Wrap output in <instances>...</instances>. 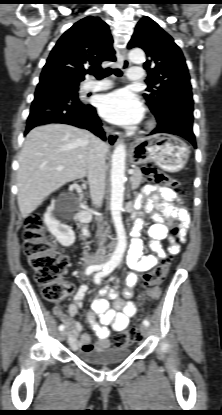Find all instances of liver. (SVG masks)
I'll return each mask as SVG.
<instances>
[{"label":"liver","instance_id":"obj_1","mask_svg":"<svg viewBox=\"0 0 222 415\" xmlns=\"http://www.w3.org/2000/svg\"><path fill=\"white\" fill-rule=\"evenodd\" d=\"M90 132L66 124L32 129L19 155L18 206L27 218L43 200L68 182L87 175ZM64 167L62 170L58 168Z\"/></svg>","mask_w":222,"mask_h":415}]
</instances>
